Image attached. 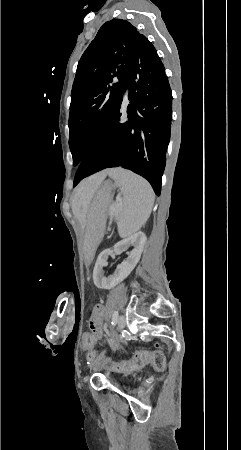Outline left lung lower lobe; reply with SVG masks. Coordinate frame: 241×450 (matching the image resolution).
I'll return each mask as SVG.
<instances>
[{"label":"left lung lower lobe","mask_w":241,"mask_h":450,"mask_svg":"<svg viewBox=\"0 0 241 450\" xmlns=\"http://www.w3.org/2000/svg\"><path fill=\"white\" fill-rule=\"evenodd\" d=\"M125 78L128 121L121 123L123 92L118 107L82 157L74 186L105 168L123 167L147 179L159 195L170 140L172 92L153 45L132 57Z\"/></svg>","instance_id":"1"}]
</instances>
